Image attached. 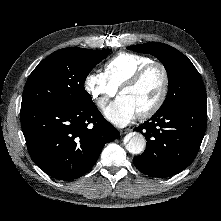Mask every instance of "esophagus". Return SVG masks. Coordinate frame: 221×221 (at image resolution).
<instances>
[{"mask_svg":"<svg viewBox=\"0 0 221 221\" xmlns=\"http://www.w3.org/2000/svg\"><path fill=\"white\" fill-rule=\"evenodd\" d=\"M132 130L130 128H126V129H121L120 130V134L124 135V134H127L129 132H131Z\"/></svg>","mask_w":221,"mask_h":221,"instance_id":"esophagus-1","label":"esophagus"}]
</instances>
